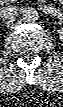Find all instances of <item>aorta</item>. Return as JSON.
I'll return each mask as SVG.
<instances>
[{
	"label": "aorta",
	"instance_id": "aorta-1",
	"mask_svg": "<svg viewBox=\"0 0 63 107\" xmlns=\"http://www.w3.org/2000/svg\"><path fill=\"white\" fill-rule=\"evenodd\" d=\"M39 14L38 11L34 7H27L23 11V19L26 22L34 23L38 20Z\"/></svg>",
	"mask_w": 63,
	"mask_h": 107
}]
</instances>
